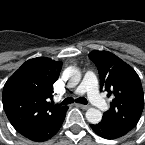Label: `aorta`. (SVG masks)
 Returning <instances> with one entry per match:
<instances>
[{
    "label": "aorta",
    "mask_w": 145,
    "mask_h": 145,
    "mask_svg": "<svg viewBox=\"0 0 145 145\" xmlns=\"http://www.w3.org/2000/svg\"><path fill=\"white\" fill-rule=\"evenodd\" d=\"M63 78L67 80L70 87H74L79 84L81 80V74L79 70L75 67H68L63 72ZM86 119L91 124H97L102 119V113L96 108H89L86 111Z\"/></svg>",
    "instance_id": "1"
}]
</instances>
